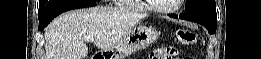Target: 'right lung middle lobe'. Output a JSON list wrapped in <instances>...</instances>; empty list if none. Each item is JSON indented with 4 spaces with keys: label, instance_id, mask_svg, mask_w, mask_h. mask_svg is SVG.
<instances>
[{
    "label": "right lung middle lobe",
    "instance_id": "right-lung-middle-lobe-1",
    "mask_svg": "<svg viewBox=\"0 0 261 59\" xmlns=\"http://www.w3.org/2000/svg\"><path fill=\"white\" fill-rule=\"evenodd\" d=\"M63 0H40L39 1V12L38 14H42L47 9L51 8L55 4L62 2Z\"/></svg>",
    "mask_w": 261,
    "mask_h": 59
}]
</instances>
